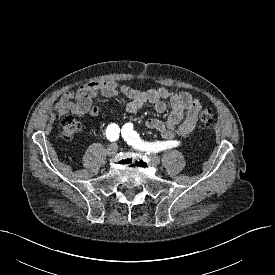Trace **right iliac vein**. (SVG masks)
Masks as SVG:
<instances>
[{
    "instance_id": "63e3f726",
    "label": "right iliac vein",
    "mask_w": 275,
    "mask_h": 275,
    "mask_svg": "<svg viewBox=\"0 0 275 275\" xmlns=\"http://www.w3.org/2000/svg\"><path fill=\"white\" fill-rule=\"evenodd\" d=\"M117 150H118L117 144L112 143L108 146L106 153H107L108 156L112 157V156L116 155Z\"/></svg>"
}]
</instances>
